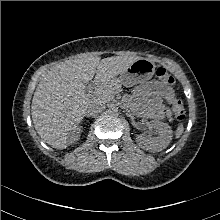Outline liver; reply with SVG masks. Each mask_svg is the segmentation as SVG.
I'll use <instances>...</instances> for the list:
<instances>
[{
	"label": "liver",
	"instance_id": "obj_1",
	"mask_svg": "<svg viewBox=\"0 0 220 220\" xmlns=\"http://www.w3.org/2000/svg\"><path fill=\"white\" fill-rule=\"evenodd\" d=\"M140 58L112 56L101 60L99 56L83 55L53 66L42 76L31 105L32 121L41 139L53 148H66L69 132L96 103L86 94L85 84L96 74L98 93H114L120 87L116 77Z\"/></svg>",
	"mask_w": 220,
	"mask_h": 220
}]
</instances>
